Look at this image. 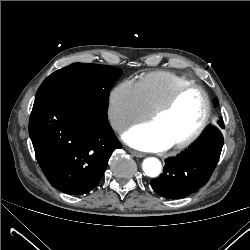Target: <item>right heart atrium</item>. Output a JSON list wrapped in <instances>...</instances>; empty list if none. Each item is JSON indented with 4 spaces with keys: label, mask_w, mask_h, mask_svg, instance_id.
I'll list each match as a JSON object with an SVG mask.
<instances>
[{
    "label": "right heart atrium",
    "mask_w": 250,
    "mask_h": 250,
    "mask_svg": "<svg viewBox=\"0 0 250 250\" xmlns=\"http://www.w3.org/2000/svg\"><path fill=\"white\" fill-rule=\"evenodd\" d=\"M107 114L111 127L118 133L149 116L136 83L126 79L110 90Z\"/></svg>",
    "instance_id": "obj_1"
}]
</instances>
